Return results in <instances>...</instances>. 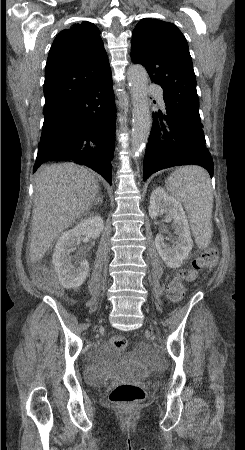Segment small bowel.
<instances>
[{"label":"small bowel","mask_w":245,"mask_h":450,"mask_svg":"<svg viewBox=\"0 0 245 450\" xmlns=\"http://www.w3.org/2000/svg\"><path fill=\"white\" fill-rule=\"evenodd\" d=\"M196 277V273L195 272H192L191 273V278H195Z\"/></svg>","instance_id":"1"}]
</instances>
